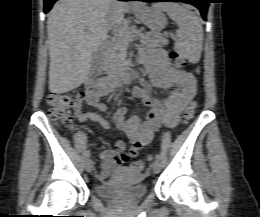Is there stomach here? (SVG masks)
<instances>
[{
	"mask_svg": "<svg viewBox=\"0 0 260 217\" xmlns=\"http://www.w3.org/2000/svg\"><path fill=\"white\" fill-rule=\"evenodd\" d=\"M137 18L151 30L158 31L165 27L166 18L162 11L155 6L141 5L134 9Z\"/></svg>",
	"mask_w": 260,
	"mask_h": 217,
	"instance_id": "obj_1",
	"label": "stomach"
}]
</instances>
